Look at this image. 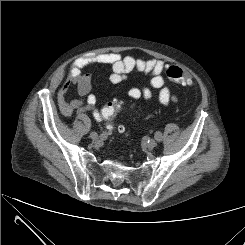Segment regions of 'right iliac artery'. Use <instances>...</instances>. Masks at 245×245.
<instances>
[{"label":"right iliac artery","mask_w":245,"mask_h":245,"mask_svg":"<svg viewBox=\"0 0 245 245\" xmlns=\"http://www.w3.org/2000/svg\"><path fill=\"white\" fill-rule=\"evenodd\" d=\"M106 136V133H102L101 137L104 138Z\"/></svg>","instance_id":"1"}]
</instances>
